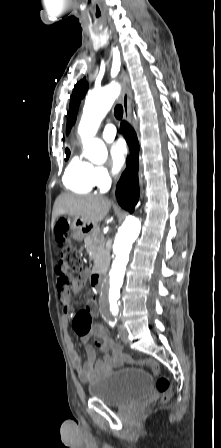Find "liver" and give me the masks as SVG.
Listing matches in <instances>:
<instances>
[{"label":"liver","instance_id":"obj_1","mask_svg":"<svg viewBox=\"0 0 221 448\" xmlns=\"http://www.w3.org/2000/svg\"><path fill=\"white\" fill-rule=\"evenodd\" d=\"M111 201L102 196L61 194L54 203L52 227L57 217L69 215L97 224L108 214Z\"/></svg>","mask_w":221,"mask_h":448}]
</instances>
